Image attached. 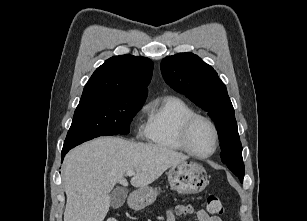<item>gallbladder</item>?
<instances>
[{"instance_id":"obj_1","label":"gallbladder","mask_w":307,"mask_h":221,"mask_svg":"<svg viewBox=\"0 0 307 221\" xmlns=\"http://www.w3.org/2000/svg\"><path fill=\"white\" fill-rule=\"evenodd\" d=\"M127 194L128 191L126 188L124 187L115 188L110 194L111 206L113 208L121 207L127 198Z\"/></svg>"}]
</instances>
